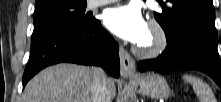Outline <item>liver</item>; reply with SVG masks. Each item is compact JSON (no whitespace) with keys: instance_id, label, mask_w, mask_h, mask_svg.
I'll use <instances>...</instances> for the list:
<instances>
[{"instance_id":"1","label":"liver","mask_w":221,"mask_h":102,"mask_svg":"<svg viewBox=\"0 0 221 102\" xmlns=\"http://www.w3.org/2000/svg\"><path fill=\"white\" fill-rule=\"evenodd\" d=\"M93 70L69 63L50 66L27 83L22 102H92ZM108 80L111 100L116 87L113 79Z\"/></svg>"}]
</instances>
